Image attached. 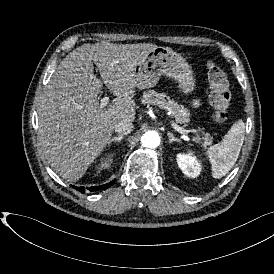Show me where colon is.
<instances>
[{
	"instance_id": "colon-1",
	"label": "colon",
	"mask_w": 274,
	"mask_h": 274,
	"mask_svg": "<svg viewBox=\"0 0 274 274\" xmlns=\"http://www.w3.org/2000/svg\"><path fill=\"white\" fill-rule=\"evenodd\" d=\"M206 75L211 89L209 103L213 110V119L223 124L229 116L232 96L227 75L215 61L206 62Z\"/></svg>"
}]
</instances>
